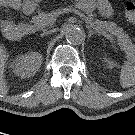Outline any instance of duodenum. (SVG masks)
<instances>
[{"mask_svg": "<svg viewBox=\"0 0 135 135\" xmlns=\"http://www.w3.org/2000/svg\"><path fill=\"white\" fill-rule=\"evenodd\" d=\"M31 30L32 25L28 23L21 25H13L8 23L5 25L4 34L12 40H18L28 35Z\"/></svg>", "mask_w": 135, "mask_h": 135, "instance_id": "410a0bca", "label": "duodenum"}]
</instances>
